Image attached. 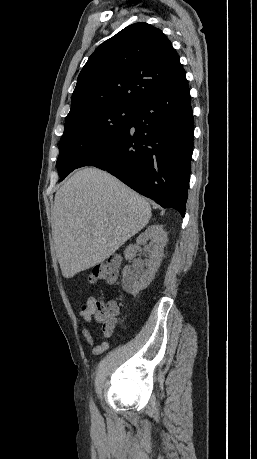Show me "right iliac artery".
Returning a JSON list of instances; mask_svg holds the SVG:
<instances>
[{
  "mask_svg": "<svg viewBox=\"0 0 257 459\" xmlns=\"http://www.w3.org/2000/svg\"><path fill=\"white\" fill-rule=\"evenodd\" d=\"M90 411H91L92 415H94V416H96V415L98 414V410H97V408L95 407V405H94V403L92 402V400H91V402H90Z\"/></svg>",
  "mask_w": 257,
  "mask_h": 459,
  "instance_id": "right-iliac-artery-1",
  "label": "right iliac artery"
}]
</instances>
